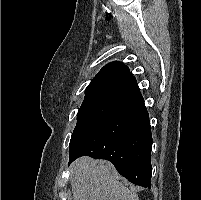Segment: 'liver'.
<instances>
[{
  "instance_id": "obj_1",
  "label": "liver",
  "mask_w": 201,
  "mask_h": 200,
  "mask_svg": "<svg viewBox=\"0 0 201 200\" xmlns=\"http://www.w3.org/2000/svg\"><path fill=\"white\" fill-rule=\"evenodd\" d=\"M73 200H139L138 195L118 180L107 161L82 157L71 166Z\"/></svg>"
}]
</instances>
